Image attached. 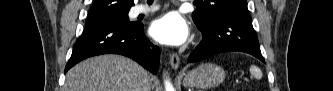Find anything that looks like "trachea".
Here are the masks:
<instances>
[{
  "instance_id": "obj_1",
  "label": "trachea",
  "mask_w": 333,
  "mask_h": 91,
  "mask_svg": "<svg viewBox=\"0 0 333 91\" xmlns=\"http://www.w3.org/2000/svg\"><path fill=\"white\" fill-rule=\"evenodd\" d=\"M152 2V0H149V3H151Z\"/></svg>"
}]
</instances>
